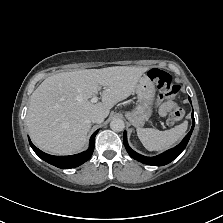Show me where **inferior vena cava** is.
Wrapping results in <instances>:
<instances>
[{
    "instance_id": "inferior-vena-cava-1",
    "label": "inferior vena cava",
    "mask_w": 223,
    "mask_h": 223,
    "mask_svg": "<svg viewBox=\"0 0 223 223\" xmlns=\"http://www.w3.org/2000/svg\"><path fill=\"white\" fill-rule=\"evenodd\" d=\"M104 115L101 112H92L90 114V121L93 123H102Z\"/></svg>"
}]
</instances>
